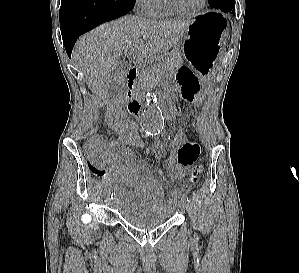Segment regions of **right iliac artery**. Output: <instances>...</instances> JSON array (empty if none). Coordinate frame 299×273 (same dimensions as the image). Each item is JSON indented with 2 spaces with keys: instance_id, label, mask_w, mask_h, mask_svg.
I'll return each mask as SVG.
<instances>
[{
  "instance_id": "obj_1",
  "label": "right iliac artery",
  "mask_w": 299,
  "mask_h": 273,
  "mask_svg": "<svg viewBox=\"0 0 299 273\" xmlns=\"http://www.w3.org/2000/svg\"><path fill=\"white\" fill-rule=\"evenodd\" d=\"M114 195H115V193L114 194L112 193L111 198H113Z\"/></svg>"
}]
</instances>
